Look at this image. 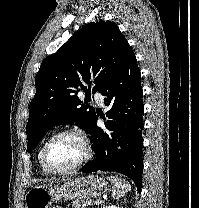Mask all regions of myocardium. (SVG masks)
<instances>
[{"label": "myocardium", "mask_w": 199, "mask_h": 208, "mask_svg": "<svg viewBox=\"0 0 199 208\" xmlns=\"http://www.w3.org/2000/svg\"><path fill=\"white\" fill-rule=\"evenodd\" d=\"M64 135H72L75 136L83 145L84 147V155L80 161H78L76 164L69 168L65 169H58L51 165L48 159V148L50 144L58 137L64 136ZM92 146L87 138V136L80 130L74 129V128H67L60 130L53 135H51L46 142L44 143L43 149H42V159L45 167L54 174H69L72 173L78 169H80L82 166H84L92 157Z\"/></svg>", "instance_id": "1"}]
</instances>
